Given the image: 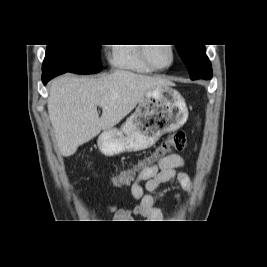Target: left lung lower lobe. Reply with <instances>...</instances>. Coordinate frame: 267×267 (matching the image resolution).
<instances>
[{
    "label": "left lung lower lobe",
    "instance_id": "left-lung-lower-lobe-1",
    "mask_svg": "<svg viewBox=\"0 0 267 267\" xmlns=\"http://www.w3.org/2000/svg\"><path fill=\"white\" fill-rule=\"evenodd\" d=\"M211 77H212V76H205V77H203V78H201V79L209 80V79H211Z\"/></svg>",
    "mask_w": 267,
    "mask_h": 267
}]
</instances>
